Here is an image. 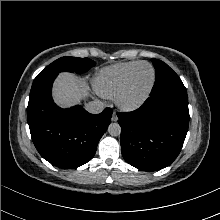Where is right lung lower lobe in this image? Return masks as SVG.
Segmentation results:
<instances>
[{
    "label": "right lung lower lobe",
    "mask_w": 220,
    "mask_h": 220,
    "mask_svg": "<svg viewBox=\"0 0 220 220\" xmlns=\"http://www.w3.org/2000/svg\"><path fill=\"white\" fill-rule=\"evenodd\" d=\"M58 74L33 81L27 120L33 143L40 155L52 165L77 168L95 155L97 144L107 130L112 116L110 108L90 114L82 106L58 107L51 88Z\"/></svg>",
    "instance_id": "right-lung-lower-lobe-1"
}]
</instances>
